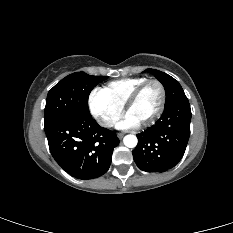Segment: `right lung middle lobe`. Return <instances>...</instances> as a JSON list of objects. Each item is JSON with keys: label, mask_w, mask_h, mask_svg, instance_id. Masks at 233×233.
I'll return each mask as SVG.
<instances>
[{"label": "right lung middle lobe", "mask_w": 233, "mask_h": 233, "mask_svg": "<svg viewBox=\"0 0 233 233\" xmlns=\"http://www.w3.org/2000/svg\"><path fill=\"white\" fill-rule=\"evenodd\" d=\"M107 78L84 72L66 76L48 92L44 124L68 115L89 113L88 97L91 90Z\"/></svg>", "instance_id": "obj_1"}]
</instances>
